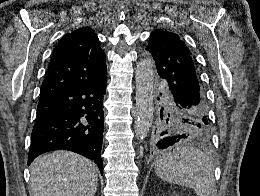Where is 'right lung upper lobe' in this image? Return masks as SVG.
I'll return each instance as SVG.
<instances>
[{
  "mask_svg": "<svg viewBox=\"0 0 260 196\" xmlns=\"http://www.w3.org/2000/svg\"><path fill=\"white\" fill-rule=\"evenodd\" d=\"M105 54L91 28L67 33L54 48L40 99L81 83L106 77Z\"/></svg>",
  "mask_w": 260,
  "mask_h": 196,
  "instance_id": "right-lung-upper-lobe-1",
  "label": "right lung upper lobe"
}]
</instances>
